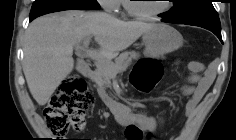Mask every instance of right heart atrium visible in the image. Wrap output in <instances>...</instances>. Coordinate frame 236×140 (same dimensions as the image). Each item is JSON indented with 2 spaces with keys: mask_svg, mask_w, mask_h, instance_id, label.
<instances>
[{
  "mask_svg": "<svg viewBox=\"0 0 236 140\" xmlns=\"http://www.w3.org/2000/svg\"><path fill=\"white\" fill-rule=\"evenodd\" d=\"M99 3L108 13H116L120 9V2L118 0H99Z\"/></svg>",
  "mask_w": 236,
  "mask_h": 140,
  "instance_id": "obj_1",
  "label": "right heart atrium"
}]
</instances>
